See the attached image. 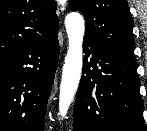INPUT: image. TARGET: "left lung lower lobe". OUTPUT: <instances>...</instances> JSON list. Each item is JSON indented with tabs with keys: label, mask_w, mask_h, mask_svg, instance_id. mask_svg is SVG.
Here are the masks:
<instances>
[{
	"label": "left lung lower lobe",
	"mask_w": 147,
	"mask_h": 131,
	"mask_svg": "<svg viewBox=\"0 0 147 131\" xmlns=\"http://www.w3.org/2000/svg\"><path fill=\"white\" fill-rule=\"evenodd\" d=\"M74 131H147L137 63L84 40Z\"/></svg>",
	"instance_id": "obj_1"
}]
</instances>
